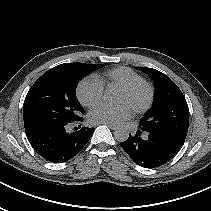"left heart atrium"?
<instances>
[{
  "mask_svg": "<svg viewBox=\"0 0 211 211\" xmlns=\"http://www.w3.org/2000/svg\"><path fill=\"white\" fill-rule=\"evenodd\" d=\"M131 114L132 109L127 104H121L118 106L101 104L90 111L88 119L93 124H117L129 118Z\"/></svg>",
  "mask_w": 211,
  "mask_h": 211,
  "instance_id": "obj_1",
  "label": "left heart atrium"
}]
</instances>
